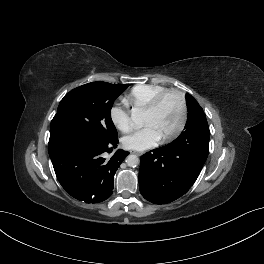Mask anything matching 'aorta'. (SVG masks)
Returning <instances> with one entry per match:
<instances>
[{
	"mask_svg": "<svg viewBox=\"0 0 264 264\" xmlns=\"http://www.w3.org/2000/svg\"><path fill=\"white\" fill-rule=\"evenodd\" d=\"M131 119L135 124H139L141 121V114L138 109H134L131 115ZM139 158L136 155L130 154L126 158V163L129 167H136L139 164Z\"/></svg>",
	"mask_w": 264,
	"mask_h": 264,
	"instance_id": "762f6f07",
	"label": "aorta"
}]
</instances>
